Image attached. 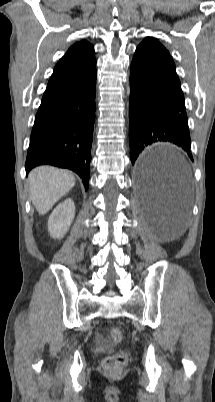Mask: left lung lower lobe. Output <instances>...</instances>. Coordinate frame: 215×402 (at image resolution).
Returning a JSON list of instances; mask_svg holds the SVG:
<instances>
[{"instance_id":"left-lung-lower-lobe-1","label":"left lung lower lobe","mask_w":215,"mask_h":402,"mask_svg":"<svg viewBox=\"0 0 215 402\" xmlns=\"http://www.w3.org/2000/svg\"><path fill=\"white\" fill-rule=\"evenodd\" d=\"M129 143L134 165L139 154L154 143L181 147L193 160L184 95L178 76L134 59L130 72ZM145 183L154 185L170 209L178 194L166 186L151 170L138 168Z\"/></svg>"}]
</instances>
